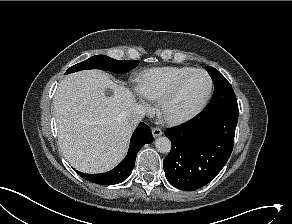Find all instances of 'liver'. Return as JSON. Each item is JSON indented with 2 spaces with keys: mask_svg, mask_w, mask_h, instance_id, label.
I'll return each instance as SVG.
<instances>
[{
  "mask_svg": "<svg viewBox=\"0 0 292 224\" xmlns=\"http://www.w3.org/2000/svg\"><path fill=\"white\" fill-rule=\"evenodd\" d=\"M113 94L106 96L105 89ZM133 93L102 71L67 75L54 96L58 140L66 160L84 173H103L126 155L135 126L127 112Z\"/></svg>",
  "mask_w": 292,
  "mask_h": 224,
  "instance_id": "1",
  "label": "liver"
}]
</instances>
